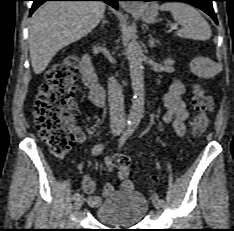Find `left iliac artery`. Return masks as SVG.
Wrapping results in <instances>:
<instances>
[{"instance_id":"left-iliac-artery-1","label":"left iliac artery","mask_w":234,"mask_h":231,"mask_svg":"<svg viewBox=\"0 0 234 231\" xmlns=\"http://www.w3.org/2000/svg\"><path fill=\"white\" fill-rule=\"evenodd\" d=\"M138 124H139L138 120H134L132 122V124L130 125V127L128 128V130L119 139V146H122L126 142V140L128 139V137L135 131V129L137 128ZM157 168L158 169L160 168L159 163H157ZM159 204H160V206H163L165 204L164 199L160 198L159 199Z\"/></svg>"}]
</instances>
